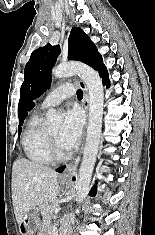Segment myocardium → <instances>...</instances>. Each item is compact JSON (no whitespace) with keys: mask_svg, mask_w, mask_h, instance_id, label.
I'll use <instances>...</instances> for the list:
<instances>
[{"mask_svg":"<svg viewBox=\"0 0 155 235\" xmlns=\"http://www.w3.org/2000/svg\"><path fill=\"white\" fill-rule=\"evenodd\" d=\"M48 148L52 160L63 161L68 158V153L60 149L56 138L50 130H48Z\"/></svg>","mask_w":155,"mask_h":235,"instance_id":"myocardium-1","label":"myocardium"}]
</instances>
